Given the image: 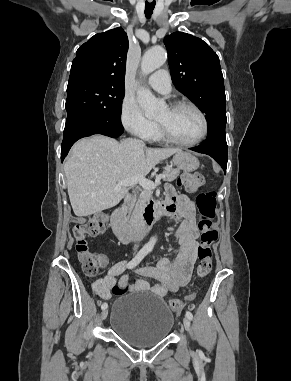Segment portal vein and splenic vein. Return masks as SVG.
Wrapping results in <instances>:
<instances>
[{"label": "portal vein and splenic vein", "instance_id": "18ae733b", "mask_svg": "<svg viewBox=\"0 0 291 381\" xmlns=\"http://www.w3.org/2000/svg\"><path fill=\"white\" fill-rule=\"evenodd\" d=\"M161 179H165V174L158 175L155 183L151 180L146 179L145 177L129 178L120 181L115 186V190H119L122 186H132L136 184L141 185L146 190H153L160 184Z\"/></svg>", "mask_w": 291, "mask_h": 381}]
</instances>
